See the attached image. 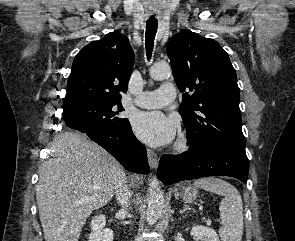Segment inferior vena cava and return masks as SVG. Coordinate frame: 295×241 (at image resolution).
<instances>
[{"label":"inferior vena cava","mask_w":295,"mask_h":241,"mask_svg":"<svg viewBox=\"0 0 295 241\" xmlns=\"http://www.w3.org/2000/svg\"><path fill=\"white\" fill-rule=\"evenodd\" d=\"M114 185L117 201L122 206V212L125 213L128 207L131 192L127 185L126 176L123 171L114 175Z\"/></svg>","instance_id":"602c4592"}]
</instances>
